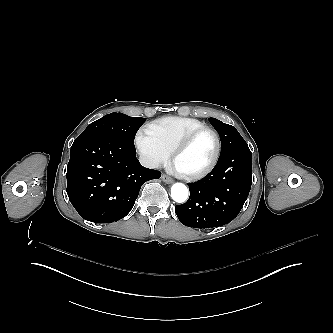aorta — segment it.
<instances>
[{
    "mask_svg": "<svg viewBox=\"0 0 333 333\" xmlns=\"http://www.w3.org/2000/svg\"><path fill=\"white\" fill-rule=\"evenodd\" d=\"M171 198L176 203H185L189 198L188 188L181 183H176L171 187Z\"/></svg>",
    "mask_w": 333,
    "mask_h": 333,
    "instance_id": "1",
    "label": "aorta"
}]
</instances>
